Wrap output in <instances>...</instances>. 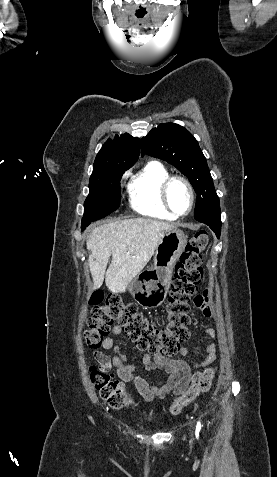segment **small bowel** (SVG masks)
Wrapping results in <instances>:
<instances>
[{"mask_svg": "<svg viewBox=\"0 0 277 477\" xmlns=\"http://www.w3.org/2000/svg\"><path fill=\"white\" fill-rule=\"evenodd\" d=\"M194 304L202 310L206 319L212 316L211 296L208 290H204L201 295H198ZM121 333V327L116 325L112 329V336L105 338L101 343L103 349L112 350L111 358L98 350L93 351V356L99 364L107 365L109 368L114 366L119 379L123 382L133 383L139 394L148 402L155 398H164L171 393L176 396L182 395L190 383L193 370L206 368L216 359L217 345L209 344L204 347L206 356L201 361L186 362L178 357L166 355L151 357L145 354L136 363H130L121 348L114 342V337ZM203 333L213 339L217 338V332L213 328L207 327ZM176 355L188 356L189 351L186 348H180ZM138 364L144 366L148 372L161 369L168 374V379L165 382L150 384L144 377L136 374Z\"/></svg>", "mask_w": 277, "mask_h": 477, "instance_id": "obj_1", "label": "small bowel"}]
</instances>
